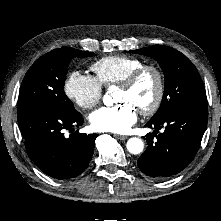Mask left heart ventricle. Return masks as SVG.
<instances>
[{
  "label": "left heart ventricle",
  "mask_w": 221,
  "mask_h": 221,
  "mask_svg": "<svg viewBox=\"0 0 221 221\" xmlns=\"http://www.w3.org/2000/svg\"><path fill=\"white\" fill-rule=\"evenodd\" d=\"M156 95V78L152 72H145L130 89L118 87L115 102H128L137 110L148 107Z\"/></svg>",
  "instance_id": "left-heart-ventricle-1"
}]
</instances>
